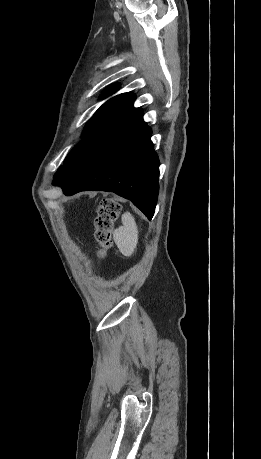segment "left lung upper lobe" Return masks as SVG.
<instances>
[{"instance_id": "1", "label": "left lung upper lobe", "mask_w": 261, "mask_h": 459, "mask_svg": "<svg viewBox=\"0 0 261 459\" xmlns=\"http://www.w3.org/2000/svg\"><path fill=\"white\" fill-rule=\"evenodd\" d=\"M116 85L106 90L111 94ZM135 96L131 93L117 95L104 103L86 125L84 139L68 154L54 175L53 185H60L87 160H89L135 113Z\"/></svg>"}]
</instances>
